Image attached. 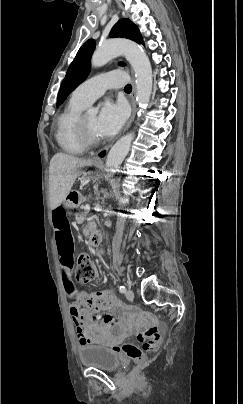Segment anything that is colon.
<instances>
[{
  "mask_svg": "<svg viewBox=\"0 0 243 404\" xmlns=\"http://www.w3.org/2000/svg\"><path fill=\"white\" fill-rule=\"evenodd\" d=\"M96 276V270L90 257L82 254L78 257L76 278L78 281L87 283ZM77 302L94 314H137L134 308L117 305L114 295L110 291H100L94 293H81L76 297ZM141 347L134 344L124 346V351L132 359H140L144 352L153 351L158 348L161 341V333L157 326L146 328L137 336Z\"/></svg>",
  "mask_w": 243,
  "mask_h": 404,
  "instance_id": "1",
  "label": "colon"
}]
</instances>
